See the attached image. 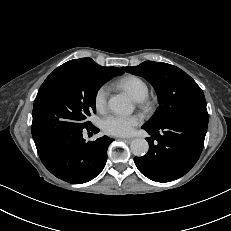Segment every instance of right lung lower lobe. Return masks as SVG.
<instances>
[{
  "mask_svg": "<svg viewBox=\"0 0 231 231\" xmlns=\"http://www.w3.org/2000/svg\"><path fill=\"white\" fill-rule=\"evenodd\" d=\"M86 130L99 131L91 125L66 132L50 141H35L41 161L57 178L81 184L95 178L105 167L107 149L114 139L103 136L86 142L82 137Z\"/></svg>",
  "mask_w": 231,
  "mask_h": 231,
  "instance_id": "obj_1",
  "label": "right lung lower lobe"
}]
</instances>
